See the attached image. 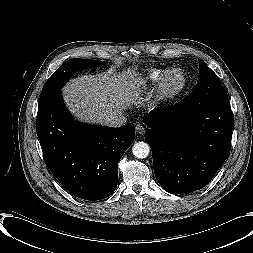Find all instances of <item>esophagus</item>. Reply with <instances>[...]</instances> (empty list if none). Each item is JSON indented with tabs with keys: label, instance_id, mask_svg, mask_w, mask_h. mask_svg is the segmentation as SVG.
<instances>
[{
	"label": "esophagus",
	"instance_id": "esophagus-1",
	"mask_svg": "<svg viewBox=\"0 0 253 253\" xmlns=\"http://www.w3.org/2000/svg\"><path fill=\"white\" fill-rule=\"evenodd\" d=\"M135 131L137 132V134L143 135L145 133V127L142 126L141 124H137L135 126Z\"/></svg>",
	"mask_w": 253,
	"mask_h": 253
}]
</instances>
